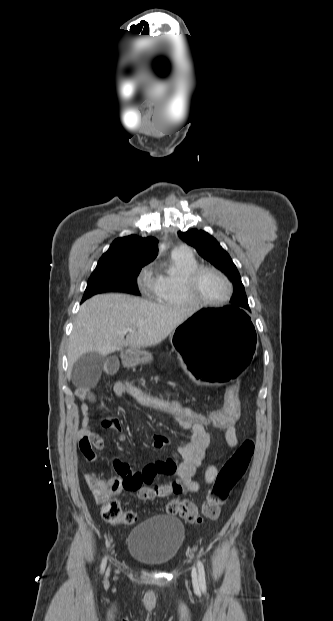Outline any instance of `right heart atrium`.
I'll list each match as a JSON object with an SVG mask.
<instances>
[{"label":"right heart atrium","mask_w":333,"mask_h":621,"mask_svg":"<svg viewBox=\"0 0 333 621\" xmlns=\"http://www.w3.org/2000/svg\"><path fill=\"white\" fill-rule=\"evenodd\" d=\"M138 283H139V287L142 290H147V289L152 290L153 289L154 279L152 278V275H151V273H150V271L148 269H145L141 273V275L139 277Z\"/></svg>","instance_id":"obj_1"}]
</instances>
